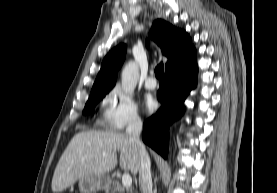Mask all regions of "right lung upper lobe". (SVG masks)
Masks as SVG:
<instances>
[{
  "label": "right lung upper lobe",
  "instance_id": "1",
  "mask_svg": "<svg viewBox=\"0 0 277 193\" xmlns=\"http://www.w3.org/2000/svg\"><path fill=\"white\" fill-rule=\"evenodd\" d=\"M150 37L161 47L163 55L167 56L166 69L195 50L191 44L190 37L185 31L179 30L161 19L154 21ZM146 45L149 47L148 40ZM125 55V45L115 47L106 55L92 87L91 94L109 92L113 88L116 83L118 69L123 64Z\"/></svg>",
  "mask_w": 277,
  "mask_h": 193
}]
</instances>
